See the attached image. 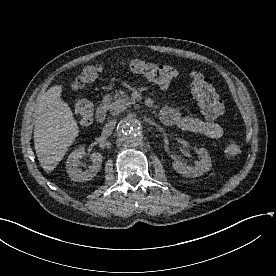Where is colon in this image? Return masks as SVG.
Masks as SVG:
<instances>
[{"label": "colon", "mask_w": 276, "mask_h": 276, "mask_svg": "<svg viewBox=\"0 0 276 276\" xmlns=\"http://www.w3.org/2000/svg\"><path fill=\"white\" fill-rule=\"evenodd\" d=\"M123 64L134 73L160 86H168L179 75L173 67L137 58L126 59ZM101 72L102 66L100 65L86 67L73 82V88L77 90L84 88L94 82ZM191 87L200 104L202 113L211 120L219 118L224 107L211 80L200 73L194 72L191 74ZM74 110L82 124H89L92 121L94 107L88 99H77L74 102ZM241 151L240 143L236 139H229L224 145L223 153L226 158L233 159L239 156Z\"/></svg>", "instance_id": "obj_1"}]
</instances>
